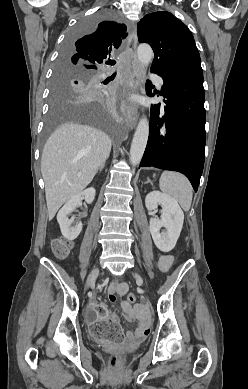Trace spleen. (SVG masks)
<instances>
[{"mask_svg":"<svg viewBox=\"0 0 248 389\" xmlns=\"http://www.w3.org/2000/svg\"><path fill=\"white\" fill-rule=\"evenodd\" d=\"M159 182L160 189L165 194L174 197L184 211L190 209L193 189L189 180L184 175L174 171H164Z\"/></svg>","mask_w":248,"mask_h":389,"instance_id":"3e777b00","label":"spleen"}]
</instances>
